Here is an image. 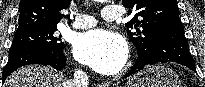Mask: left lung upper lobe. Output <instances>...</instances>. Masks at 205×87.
<instances>
[{"instance_id": "obj_1", "label": "left lung upper lobe", "mask_w": 205, "mask_h": 87, "mask_svg": "<svg viewBox=\"0 0 205 87\" xmlns=\"http://www.w3.org/2000/svg\"><path fill=\"white\" fill-rule=\"evenodd\" d=\"M122 4L129 8L128 14H135L126 26L138 55L147 53L165 30L183 26L176 0H122Z\"/></svg>"}]
</instances>
